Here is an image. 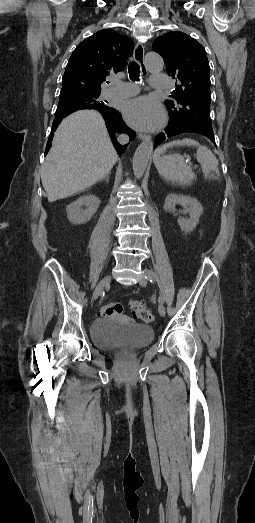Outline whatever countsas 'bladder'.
<instances>
[{
	"label": "bladder",
	"mask_w": 255,
	"mask_h": 523,
	"mask_svg": "<svg viewBox=\"0 0 255 523\" xmlns=\"http://www.w3.org/2000/svg\"><path fill=\"white\" fill-rule=\"evenodd\" d=\"M152 328L146 324L125 323L112 318L95 320L91 325V339L98 347H131L138 349L151 343Z\"/></svg>",
	"instance_id": "31cf9c89"
}]
</instances>
